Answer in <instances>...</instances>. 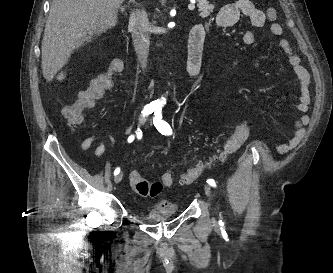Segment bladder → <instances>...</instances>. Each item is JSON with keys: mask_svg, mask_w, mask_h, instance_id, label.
Returning <instances> with one entry per match:
<instances>
[{"mask_svg": "<svg viewBox=\"0 0 333 273\" xmlns=\"http://www.w3.org/2000/svg\"><path fill=\"white\" fill-rule=\"evenodd\" d=\"M178 214V210L171 203H156L147 208L145 215H139L140 219L150 222H164Z\"/></svg>", "mask_w": 333, "mask_h": 273, "instance_id": "1", "label": "bladder"}]
</instances>
